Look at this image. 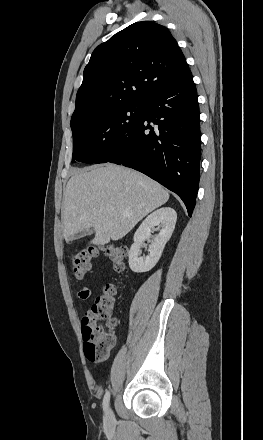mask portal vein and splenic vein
Wrapping results in <instances>:
<instances>
[{
    "label": "portal vein and splenic vein",
    "instance_id": "obj_1",
    "mask_svg": "<svg viewBox=\"0 0 263 440\" xmlns=\"http://www.w3.org/2000/svg\"><path fill=\"white\" fill-rule=\"evenodd\" d=\"M109 209H110V210H112V209H113V207H109Z\"/></svg>",
    "mask_w": 263,
    "mask_h": 440
}]
</instances>
